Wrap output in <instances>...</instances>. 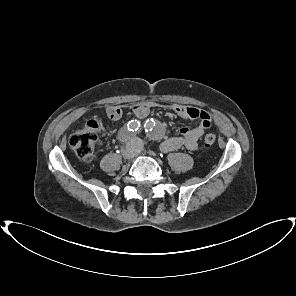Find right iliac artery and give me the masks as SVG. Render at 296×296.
Segmentation results:
<instances>
[{
	"mask_svg": "<svg viewBox=\"0 0 296 296\" xmlns=\"http://www.w3.org/2000/svg\"><path fill=\"white\" fill-rule=\"evenodd\" d=\"M140 127V122L137 120H131L128 124L127 127H124L122 131L120 132V140L121 141H126L128 138V132H136L138 131Z\"/></svg>",
	"mask_w": 296,
	"mask_h": 296,
	"instance_id": "1",
	"label": "right iliac artery"
}]
</instances>
